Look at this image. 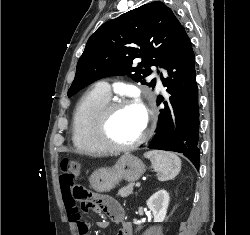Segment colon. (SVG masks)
<instances>
[{"label":"colon","instance_id":"1","mask_svg":"<svg viewBox=\"0 0 250 235\" xmlns=\"http://www.w3.org/2000/svg\"><path fill=\"white\" fill-rule=\"evenodd\" d=\"M61 176L60 182L63 186L70 187L76 201L86 202L87 208L92 209L88 200L87 192L80 186H73L75 180L82 175V164L78 159H63L59 165Z\"/></svg>","mask_w":250,"mask_h":235}]
</instances>
